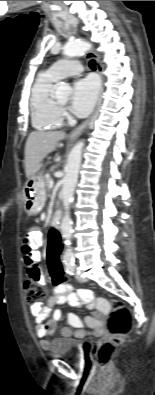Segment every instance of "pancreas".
Returning <instances> with one entry per match:
<instances>
[{
	"label": "pancreas",
	"instance_id": "cf45deb5",
	"mask_svg": "<svg viewBox=\"0 0 155 395\" xmlns=\"http://www.w3.org/2000/svg\"><path fill=\"white\" fill-rule=\"evenodd\" d=\"M44 185H45V189L46 190H50V188H49V182L52 180V178H50V177H44Z\"/></svg>",
	"mask_w": 155,
	"mask_h": 395
}]
</instances>
